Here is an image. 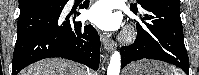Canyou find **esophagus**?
<instances>
[{
    "mask_svg": "<svg viewBox=\"0 0 199 75\" xmlns=\"http://www.w3.org/2000/svg\"><path fill=\"white\" fill-rule=\"evenodd\" d=\"M103 44L107 51H113L115 48L114 42L105 34L103 35Z\"/></svg>",
    "mask_w": 199,
    "mask_h": 75,
    "instance_id": "1",
    "label": "esophagus"
}]
</instances>
